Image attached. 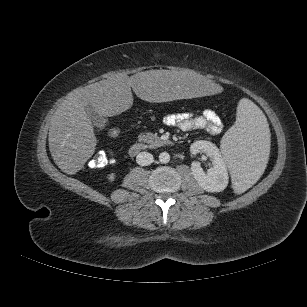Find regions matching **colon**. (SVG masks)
I'll return each instance as SVG.
<instances>
[{
    "instance_id": "colon-1",
    "label": "colon",
    "mask_w": 307,
    "mask_h": 307,
    "mask_svg": "<svg viewBox=\"0 0 307 307\" xmlns=\"http://www.w3.org/2000/svg\"><path fill=\"white\" fill-rule=\"evenodd\" d=\"M108 135L116 138L120 135V129L117 127L110 128ZM114 161V154L112 152L97 151L88 160L87 164L90 168H102Z\"/></svg>"
}]
</instances>
